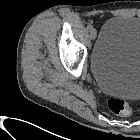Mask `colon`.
Masks as SVG:
<instances>
[{
    "instance_id": "5ec220e1",
    "label": "colon",
    "mask_w": 140,
    "mask_h": 140,
    "mask_svg": "<svg viewBox=\"0 0 140 140\" xmlns=\"http://www.w3.org/2000/svg\"><path fill=\"white\" fill-rule=\"evenodd\" d=\"M108 107L113 113L117 115L129 116L132 114L130 104L124 99L118 97H111L108 100Z\"/></svg>"
}]
</instances>
